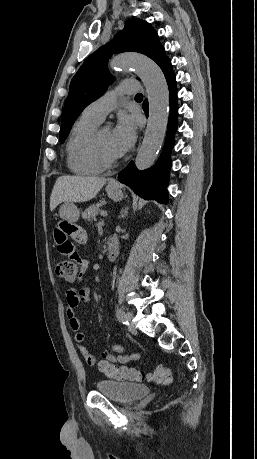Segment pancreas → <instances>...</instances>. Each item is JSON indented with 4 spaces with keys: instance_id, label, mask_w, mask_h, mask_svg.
<instances>
[{
    "instance_id": "1",
    "label": "pancreas",
    "mask_w": 257,
    "mask_h": 459,
    "mask_svg": "<svg viewBox=\"0 0 257 459\" xmlns=\"http://www.w3.org/2000/svg\"><path fill=\"white\" fill-rule=\"evenodd\" d=\"M103 205H105V202L100 201L86 208V210L82 213L83 219L88 221L93 220L97 216L98 212L101 211V207Z\"/></svg>"
}]
</instances>
